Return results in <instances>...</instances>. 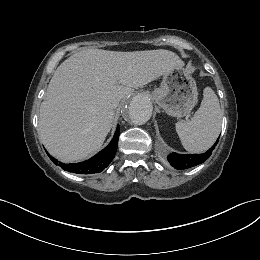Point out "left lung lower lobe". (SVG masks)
I'll list each match as a JSON object with an SVG mask.
<instances>
[{
  "mask_svg": "<svg viewBox=\"0 0 260 260\" xmlns=\"http://www.w3.org/2000/svg\"><path fill=\"white\" fill-rule=\"evenodd\" d=\"M219 138L216 143L205 153L203 154H188L182 155L177 153H171L167 159L171 166L178 170H184L187 168L194 167L206 161L212 154L216 144L218 143Z\"/></svg>",
  "mask_w": 260,
  "mask_h": 260,
  "instance_id": "1",
  "label": "left lung lower lobe"
}]
</instances>
